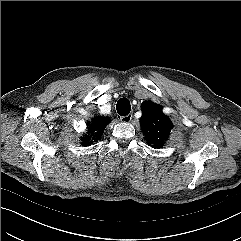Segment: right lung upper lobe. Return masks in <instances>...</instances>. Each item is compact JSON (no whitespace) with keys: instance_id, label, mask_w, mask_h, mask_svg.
<instances>
[{"instance_id":"cb5924a9","label":"right lung upper lobe","mask_w":241,"mask_h":241,"mask_svg":"<svg viewBox=\"0 0 241 241\" xmlns=\"http://www.w3.org/2000/svg\"><path fill=\"white\" fill-rule=\"evenodd\" d=\"M109 121L110 120L107 117L97 116L93 118L92 122L88 123L89 135H86L81 139L82 145L89 146L93 144L95 140H98L103 134L104 128L109 123Z\"/></svg>"}]
</instances>
